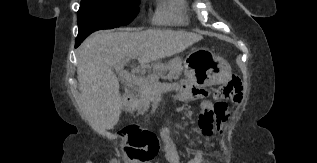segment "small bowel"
<instances>
[{"label":"small bowel","instance_id":"obj_1","mask_svg":"<svg viewBox=\"0 0 317 163\" xmlns=\"http://www.w3.org/2000/svg\"><path fill=\"white\" fill-rule=\"evenodd\" d=\"M179 91H180L179 93L180 100H186L188 96L191 94V91L185 86H182ZM199 93L202 96L207 95L208 89L202 88L200 89ZM203 103H210V102L204 101ZM228 121H229V114H228V111L226 110L224 114L221 116V118L219 119L218 127L221 130H223L226 124L228 123ZM202 133L205 138H209L213 134V130H210L208 132L202 130ZM161 138L163 142L162 151L167 162L181 163V158L178 152L177 145L171 138L170 129L168 127H165L161 130ZM190 146H191L193 156L187 163H210L204 150L195 141H191ZM86 163H92V162H86Z\"/></svg>","mask_w":317,"mask_h":163}]
</instances>
